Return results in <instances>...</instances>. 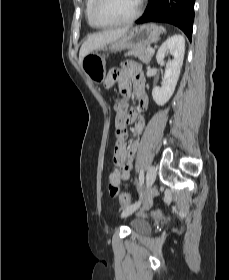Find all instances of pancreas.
Listing matches in <instances>:
<instances>
[{
	"instance_id": "pancreas-1",
	"label": "pancreas",
	"mask_w": 229,
	"mask_h": 280,
	"mask_svg": "<svg viewBox=\"0 0 229 280\" xmlns=\"http://www.w3.org/2000/svg\"><path fill=\"white\" fill-rule=\"evenodd\" d=\"M154 53H150L148 48L131 49L125 56H134L141 60L143 63L148 64L153 57Z\"/></svg>"
}]
</instances>
